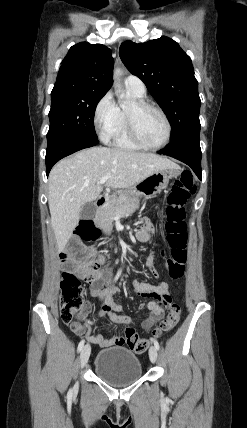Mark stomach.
<instances>
[{"mask_svg": "<svg viewBox=\"0 0 247 428\" xmlns=\"http://www.w3.org/2000/svg\"><path fill=\"white\" fill-rule=\"evenodd\" d=\"M180 174V168L163 169L147 177L128 191L132 196L151 198L165 189L170 179L177 178Z\"/></svg>", "mask_w": 247, "mask_h": 428, "instance_id": "obj_1", "label": "stomach"}]
</instances>
